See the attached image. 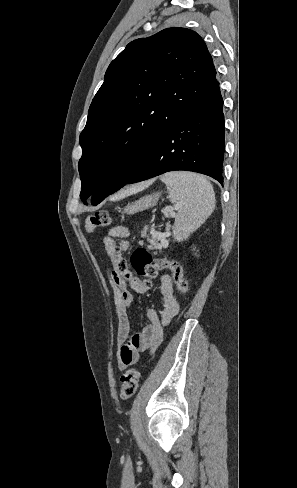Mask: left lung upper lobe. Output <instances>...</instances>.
Listing matches in <instances>:
<instances>
[{
    "label": "left lung upper lobe",
    "instance_id": "1",
    "mask_svg": "<svg viewBox=\"0 0 297 488\" xmlns=\"http://www.w3.org/2000/svg\"><path fill=\"white\" fill-rule=\"evenodd\" d=\"M194 31L168 28L130 42L110 63L80 134L84 203L122 188L163 137L218 86Z\"/></svg>",
    "mask_w": 297,
    "mask_h": 488
}]
</instances>
